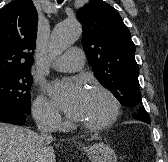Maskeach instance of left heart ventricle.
<instances>
[{
    "label": "left heart ventricle",
    "mask_w": 168,
    "mask_h": 162,
    "mask_svg": "<svg viewBox=\"0 0 168 162\" xmlns=\"http://www.w3.org/2000/svg\"><path fill=\"white\" fill-rule=\"evenodd\" d=\"M110 111L108 99L99 93L89 92L88 99L80 119L84 123H97L107 117Z\"/></svg>",
    "instance_id": "left-heart-ventricle-1"
}]
</instances>
